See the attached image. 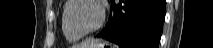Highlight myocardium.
Here are the masks:
<instances>
[{
    "label": "myocardium",
    "mask_w": 213,
    "mask_h": 48,
    "mask_svg": "<svg viewBox=\"0 0 213 48\" xmlns=\"http://www.w3.org/2000/svg\"><path fill=\"white\" fill-rule=\"evenodd\" d=\"M79 1H87V2L95 4L100 13V17H99V20H98L96 26H94L92 29H90L88 31H84V32L76 31L69 22V13H70L73 5ZM105 17H106V11H105V7H104V4L102 3V1H99V0H69L67 2V5L65 7V12L63 14V22L69 33H71L72 35L77 36L79 38H83V37L96 33L103 26V24L105 22Z\"/></svg>",
    "instance_id": "f54148a6"
}]
</instances>
